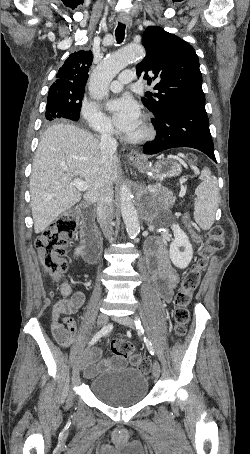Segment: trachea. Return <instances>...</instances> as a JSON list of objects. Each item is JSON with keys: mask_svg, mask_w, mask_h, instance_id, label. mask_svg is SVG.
I'll return each mask as SVG.
<instances>
[{"mask_svg": "<svg viewBox=\"0 0 250 454\" xmlns=\"http://www.w3.org/2000/svg\"><path fill=\"white\" fill-rule=\"evenodd\" d=\"M125 28H126L125 24L120 22L118 23V26L115 31V36L118 43H121L124 40Z\"/></svg>", "mask_w": 250, "mask_h": 454, "instance_id": "obj_1", "label": "trachea"}]
</instances>
